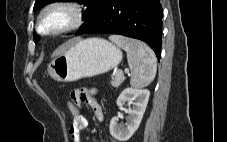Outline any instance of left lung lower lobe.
I'll return each instance as SVG.
<instances>
[{"label":"left lung lower lobe","mask_w":227,"mask_h":142,"mask_svg":"<svg viewBox=\"0 0 227 142\" xmlns=\"http://www.w3.org/2000/svg\"><path fill=\"white\" fill-rule=\"evenodd\" d=\"M162 14L159 0H106L76 35L107 33L139 39L160 59Z\"/></svg>","instance_id":"left-lung-lower-lobe-1"}]
</instances>
